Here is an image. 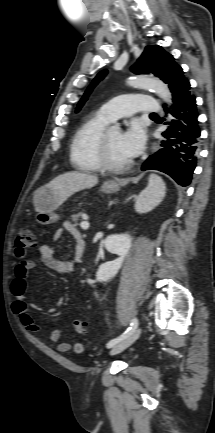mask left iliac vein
I'll return each mask as SVG.
<instances>
[{"label":"left iliac vein","mask_w":215,"mask_h":433,"mask_svg":"<svg viewBox=\"0 0 215 433\" xmlns=\"http://www.w3.org/2000/svg\"><path fill=\"white\" fill-rule=\"evenodd\" d=\"M141 328L137 327L126 339L122 340L119 344L115 345L111 351L110 355H117L131 346L140 336Z\"/></svg>","instance_id":"obj_1"}]
</instances>
